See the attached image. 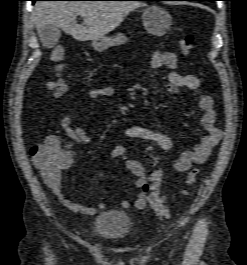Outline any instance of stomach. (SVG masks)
Returning <instances> with one entry per match:
<instances>
[{
  "instance_id": "stomach-1",
  "label": "stomach",
  "mask_w": 247,
  "mask_h": 265,
  "mask_svg": "<svg viewBox=\"0 0 247 265\" xmlns=\"http://www.w3.org/2000/svg\"><path fill=\"white\" fill-rule=\"evenodd\" d=\"M145 30L154 36H163L172 24V17L164 8L152 5L147 7L142 14ZM128 41L127 37L118 33L114 37H103L92 41V47L97 52H103L110 47L120 46Z\"/></svg>"
}]
</instances>
